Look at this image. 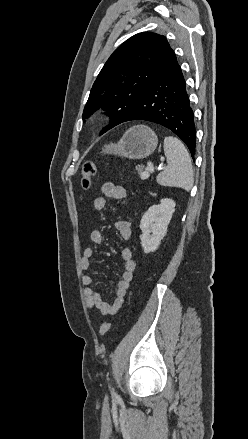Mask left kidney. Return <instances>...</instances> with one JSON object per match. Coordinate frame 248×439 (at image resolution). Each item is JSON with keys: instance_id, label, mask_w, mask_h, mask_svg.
Returning <instances> with one entry per match:
<instances>
[{"instance_id": "left-kidney-1", "label": "left kidney", "mask_w": 248, "mask_h": 439, "mask_svg": "<svg viewBox=\"0 0 248 439\" xmlns=\"http://www.w3.org/2000/svg\"><path fill=\"white\" fill-rule=\"evenodd\" d=\"M174 211L175 202L164 198L160 200V204L151 206L145 212L140 222V240L144 253L154 252L158 248L166 235Z\"/></svg>"}]
</instances>
